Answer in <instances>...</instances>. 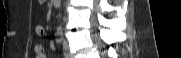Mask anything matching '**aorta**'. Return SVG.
<instances>
[{
    "label": "aorta",
    "mask_w": 181,
    "mask_h": 58,
    "mask_svg": "<svg viewBox=\"0 0 181 58\" xmlns=\"http://www.w3.org/2000/svg\"><path fill=\"white\" fill-rule=\"evenodd\" d=\"M57 31H58V32H61V31H62V27H61L60 25L57 27Z\"/></svg>",
    "instance_id": "obj_1"
}]
</instances>
